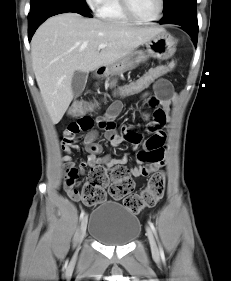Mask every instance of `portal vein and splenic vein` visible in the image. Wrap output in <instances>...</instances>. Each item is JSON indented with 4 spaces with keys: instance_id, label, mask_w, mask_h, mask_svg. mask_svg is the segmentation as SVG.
Returning a JSON list of instances; mask_svg holds the SVG:
<instances>
[{
    "instance_id": "18ae733b",
    "label": "portal vein and splenic vein",
    "mask_w": 231,
    "mask_h": 281,
    "mask_svg": "<svg viewBox=\"0 0 231 281\" xmlns=\"http://www.w3.org/2000/svg\"><path fill=\"white\" fill-rule=\"evenodd\" d=\"M106 46H107L106 44H100V45L98 46V49H99V50H100V49H104Z\"/></svg>"
}]
</instances>
